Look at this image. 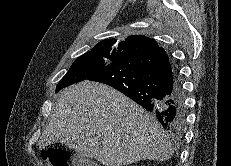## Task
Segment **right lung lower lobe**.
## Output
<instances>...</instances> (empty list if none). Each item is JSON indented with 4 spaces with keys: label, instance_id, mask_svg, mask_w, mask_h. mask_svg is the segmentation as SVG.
<instances>
[{
    "label": "right lung lower lobe",
    "instance_id": "98d812e1",
    "mask_svg": "<svg viewBox=\"0 0 231 166\" xmlns=\"http://www.w3.org/2000/svg\"><path fill=\"white\" fill-rule=\"evenodd\" d=\"M86 80L107 84L153 112L171 135L183 133L186 113L181 78L163 48L117 60Z\"/></svg>",
    "mask_w": 231,
    "mask_h": 166
}]
</instances>
